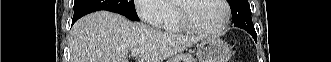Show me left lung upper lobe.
Returning <instances> with one entry per match:
<instances>
[{
    "instance_id": "obj_1",
    "label": "left lung upper lobe",
    "mask_w": 331,
    "mask_h": 62,
    "mask_svg": "<svg viewBox=\"0 0 331 62\" xmlns=\"http://www.w3.org/2000/svg\"><path fill=\"white\" fill-rule=\"evenodd\" d=\"M227 1L229 2L231 8L232 21L234 25L245 29L254 38L255 35L257 34L252 23L251 10L248 0H227Z\"/></svg>"
}]
</instances>
